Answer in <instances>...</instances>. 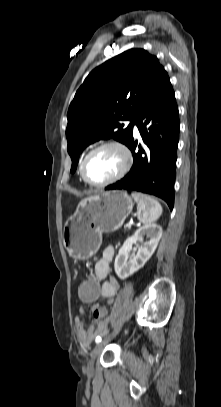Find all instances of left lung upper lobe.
Listing matches in <instances>:
<instances>
[{
	"label": "left lung upper lobe",
	"mask_w": 221,
	"mask_h": 407,
	"mask_svg": "<svg viewBox=\"0 0 221 407\" xmlns=\"http://www.w3.org/2000/svg\"><path fill=\"white\" fill-rule=\"evenodd\" d=\"M167 75L144 49H130L95 68L80 86L67 114L71 173L89 144L114 138L128 145L135 121ZM130 120L126 126L124 121Z\"/></svg>",
	"instance_id": "1"
}]
</instances>
